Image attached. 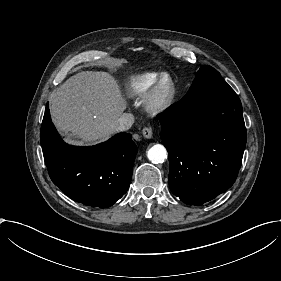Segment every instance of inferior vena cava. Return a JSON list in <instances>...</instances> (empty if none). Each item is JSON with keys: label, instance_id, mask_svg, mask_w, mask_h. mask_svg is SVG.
Here are the masks:
<instances>
[{"label": "inferior vena cava", "instance_id": "obj_1", "mask_svg": "<svg viewBox=\"0 0 281 281\" xmlns=\"http://www.w3.org/2000/svg\"><path fill=\"white\" fill-rule=\"evenodd\" d=\"M134 116L131 113H123V115L113 123L118 132L127 131L131 128Z\"/></svg>", "mask_w": 281, "mask_h": 281}]
</instances>
